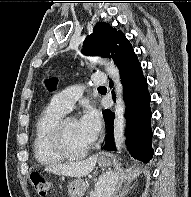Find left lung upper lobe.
I'll return each instance as SVG.
<instances>
[{"label":"left lung upper lobe","instance_id":"1","mask_svg":"<svg viewBox=\"0 0 191 197\" xmlns=\"http://www.w3.org/2000/svg\"><path fill=\"white\" fill-rule=\"evenodd\" d=\"M82 53L111 57L120 72L141 66L124 33L117 31L105 22H99L95 25L93 33L85 39ZM57 81L56 78L46 81L47 88L50 91L55 90Z\"/></svg>","mask_w":191,"mask_h":197}]
</instances>
